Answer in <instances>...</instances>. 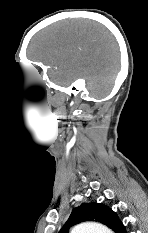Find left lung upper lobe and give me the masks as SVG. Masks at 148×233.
Masks as SVG:
<instances>
[{
  "instance_id": "obj_1",
  "label": "left lung upper lobe",
  "mask_w": 148,
  "mask_h": 233,
  "mask_svg": "<svg viewBox=\"0 0 148 233\" xmlns=\"http://www.w3.org/2000/svg\"><path fill=\"white\" fill-rule=\"evenodd\" d=\"M84 221H96L108 226L114 233H126L125 226L116 213L100 203H83L73 209L59 233H68L71 226Z\"/></svg>"
}]
</instances>
